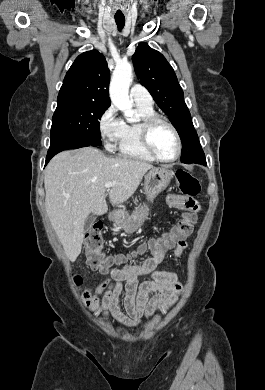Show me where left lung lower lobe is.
Listing matches in <instances>:
<instances>
[{
    "instance_id": "1",
    "label": "left lung lower lobe",
    "mask_w": 265,
    "mask_h": 390,
    "mask_svg": "<svg viewBox=\"0 0 265 390\" xmlns=\"http://www.w3.org/2000/svg\"><path fill=\"white\" fill-rule=\"evenodd\" d=\"M193 163H198V164H201V165H206L205 155H203V156H201L200 158L194 160Z\"/></svg>"
}]
</instances>
